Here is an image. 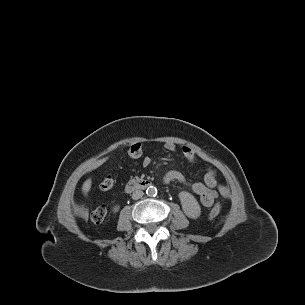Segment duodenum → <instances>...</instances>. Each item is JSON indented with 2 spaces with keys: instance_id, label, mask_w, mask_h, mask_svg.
Here are the masks:
<instances>
[{
  "instance_id": "duodenum-1",
  "label": "duodenum",
  "mask_w": 305,
  "mask_h": 305,
  "mask_svg": "<svg viewBox=\"0 0 305 305\" xmlns=\"http://www.w3.org/2000/svg\"><path fill=\"white\" fill-rule=\"evenodd\" d=\"M152 182L148 179L144 178H135L127 182L125 185V191L127 193H131L135 190H141V189H146L150 187Z\"/></svg>"
}]
</instances>
